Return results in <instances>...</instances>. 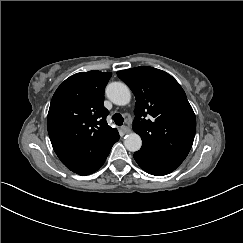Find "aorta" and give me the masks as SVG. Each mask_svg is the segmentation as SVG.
<instances>
[{
    "label": "aorta",
    "mask_w": 243,
    "mask_h": 243,
    "mask_svg": "<svg viewBox=\"0 0 243 243\" xmlns=\"http://www.w3.org/2000/svg\"><path fill=\"white\" fill-rule=\"evenodd\" d=\"M107 98L115 105L124 106L130 102L131 94L128 86L122 82H111L106 86ZM124 145L127 150L136 152L141 148L142 140L136 133L127 134L124 137Z\"/></svg>",
    "instance_id": "762f6f07"
}]
</instances>
